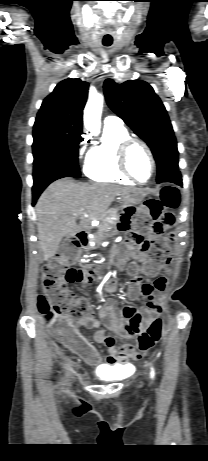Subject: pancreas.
Returning a JSON list of instances; mask_svg holds the SVG:
<instances>
[{"mask_svg": "<svg viewBox=\"0 0 208 461\" xmlns=\"http://www.w3.org/2000/svg\"><path fill=\"white\" fill-rule=\"evenodd\" d=\"M118 219H119L118 209L117 208L109 209L105 213L104 218L101 220L102 222L96 233L95 240L102 238L104 232H111V229L116 225V222L118 221Z\"/></svg>", "mask_w": 208, "mask_h": 461, "instance_id": "pancreas-1", "label": "pancreas"}]
</instances>
